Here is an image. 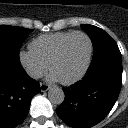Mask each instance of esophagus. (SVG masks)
<instances>
[{"label": "esophagus", "mask_w": 128, "mask_h": 128, "mask_svg": "<svg viewBox=\"0 0 128 128\" xmlns=\"http://www.w3.org/2000/svg\"><path fill=\"white\" fill-rule=\"evenodd\" d=\"M40 89H41L42 92H46L50 89V86L46 83H41L40 84Z\"/></svg>", "instance_id": "esophagus-1"}]
</instances>
